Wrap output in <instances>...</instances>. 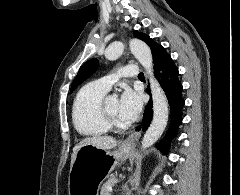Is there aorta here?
Masks as SVG:
<instances>
[{
  "label": "aorta",
  "instance_id": "762f6f07",
  "mask_svg": "<svg viewBox=\"0 0 240 195\" xmlns=\"http://www.w3.org/2000/svg\"><path fill=\"white\" fill-rule=\"evenodd\" d=\"M129 46L133 56L137 58L149 76L154 115L152 123H150L146 133H144L142 147H150L162 135L166 127L168 121V101L162 88H160L157 80L154 78L153 60L149 46L145 42H141V40H130ZM124 48L125 46L122 42H113V44L108 46L105 58L107 60H117V58L122 56Z\"/></svg>",
  "mask_w": 240,
  "mask_h": 195
}]
</instances>
